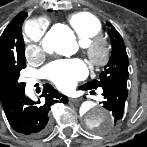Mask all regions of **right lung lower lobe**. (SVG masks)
I'll return each mask as SVG.
<instances>
[{"instance_id": "98d812e1", "label": "right lung lower lobe", "mask_w": 147, "mask_h": 147, "mask_svg": "<svg viewBox=\"0 0 147 147\" xmlns=\"http://www.w3.org/2000/svg\"><path fill=\"white\" fill-rule=\"evenodd\" d=\"M41 97V101H33L23 92L2 100L7 120L16 132L28 137L42 136L49 129L50 106L58 101L68 103V98L50 84L44 85Z\"/></svg>"}]
</instances>
